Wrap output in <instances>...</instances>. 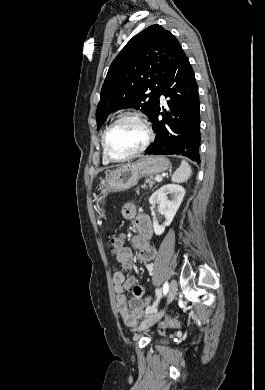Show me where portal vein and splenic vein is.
<instances>
[{
  "label": "portal vein and splenic vein",
  "mask_w": 265,
  "mask_h": 390,
  "mask_svg": "<svg viewBox=\"0 0 265 390\" xmlns=\"http://www.w3.org/2000/svg\"><path fill=\"white\" fill-rule=\"evenodd\" d=\"M155 180H156L157 182H161V181H162V177L156 176V177H155Z\"/></svg>",
  "instance_id": "portal-vein-and-splenic-vein-1"
}]
</instances>
